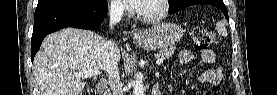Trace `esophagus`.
Masks as SVG:
<instances>
[{
    "label": "esophagus",
    "instance_id": "esophagus-1",
    "mask_svg": "<svg viewBox=\"0 0 277 95\" xmlns=\"http://www.w3.org/2000/svg\"><path fill=\"white\" fill-rule=\"evenodd\" d=\"M131 35L133 39H142L144 37V32L141 29L136 28L132 31Z\"/></svg>",
    "mask_w": 277,
    "mask_h": 95
}]
</instances>
